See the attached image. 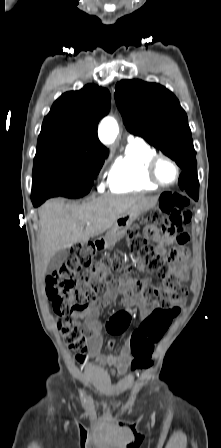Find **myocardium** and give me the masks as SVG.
I'll list each match as a JSON object with an SVG mask.
<instances>
[{
    "label": "myocardium",
    "mask_w": 221,
    "mask_h": 448,
    "mask_svg": "<svg viewBox=\"0 0 221 448\" xmlns=\"http://www.w3.org/2000/svg\"><path fill=\"white\" fill-rule=\"evenodd\" d=\"M161 160H167L168 162H170L174 166V168L176 170L175 179L172 182H170V183H165V182L161 181L160 178L157 175V166H158V163ZM180 174H181L180 166L178 165V163L173 158H171L168 155L156 154L154 157H152L150 159V161L148 162V165H147V177H148V179L152 183H154L155 185H157L159 187H170V186H173L174 184H176L178 182Z\"/></svg>",
    "instance_id": "1"
}]
</instances>
